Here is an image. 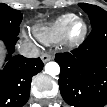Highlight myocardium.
<instances>
[{
	"instance_id": "1",
	"label": "myocardium",
	"mask_w": 107,
	"mask_h": 107,
	"mask_svg": "<svg viewBox=\"0 0 107 107\" xmlns=\"http://www.w3.org/2000/svg\"><path fill=\"white\" fill-rule=\"evenodd\" d=\"M76 23H80L82 25L81 30L77 34L73 33V27ZM87 32H88V26L86 22L82 18L76 16L68 24L64 36L62 38V41L64 42L65 45L69 47H76L84 41V39L87 36Z\"/></svg>"
}]
</instances>
